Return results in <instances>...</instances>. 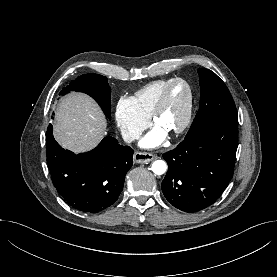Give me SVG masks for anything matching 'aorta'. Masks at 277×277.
<instances>
[{
    "label": "aorta",
    "mask_w": 277,
    "mask_h": 277,
    "mask_svg": "<svg viewBox=\"0 0 277 277\" xmlns=\"http://www.w3.org/2000/svg\"><path fill=\"white\" fill-rule=\"evenodd\" d=\"M152 171L156 175H162L167 170V164L163 160H156L152 164Z\"/></svg>",
    "instance_id": "1"
}]
</instances>
